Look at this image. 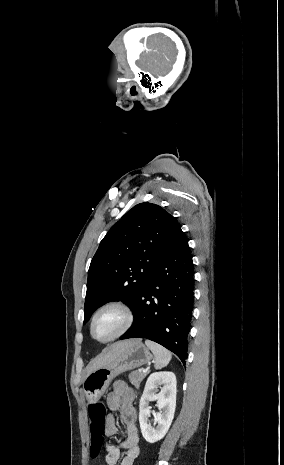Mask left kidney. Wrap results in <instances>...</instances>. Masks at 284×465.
<instances>
[{
	"label": "left kidney",
	"instance_id": "1",
	"mask_svg": "<svg viewBox=\"0 0 284 465\" xmlns=\"http://www.w3.org/2000/svg\"><path fill=\"white\" fill-rule=\"evenodd\" d=\"M159 385L161 391L155 395ZM176 377L174 373H152L147 379L143 395L139 403V423L141 433L147 443H157L165 437L173 421L176 407ZM150 401H157L156 407L159 409L157 415V427L151 429L149 417H151L152 407Z\"/></svg>",
	"mask_w": 284,
	"mask_h": 465
}]
</instances>
